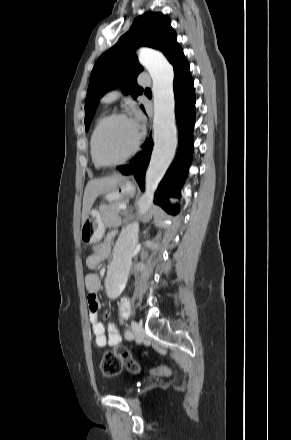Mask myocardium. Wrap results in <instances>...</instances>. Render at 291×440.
<instances>
[{"instance_id":"1","label":"myocardium","mask_w":291,"mask_h":440,"mask_svg":"<svg viewBox=\"0 0 291 440\" xmlns=\"http://www.w3.org/2000/svg\"><path fill=\"white\" fill-rule=\"evenodd\" d=\"M129 119L128 115L123 113V112H113L110 113L109 115L105 116L104 118H102L100 120V122L97 124L94 134H93V140H92V144H93V157L95 159V161L100 165V166H106V167H115V166H119L122 164H125L126 162H128L139 150L140 147V143H141V134L139 132H137V137H136V141L135 144L133 146V148L130 150V152L121 160L118 161H108L103 159L99 152H98V138H99V134L102 130V128L105 126V124H107L109 121L114 120V119Z\"/></svg>"}]
</instances>
